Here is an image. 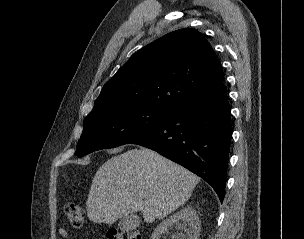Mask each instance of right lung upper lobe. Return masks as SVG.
<instances>
[{
  "mask_svg": "<svg viewBox=\"0 0 304 239\" xmlns=\"http://www.w3.org/2000/svg\"><path fill=\"white\" fill-rule=\"evenodd\" d=\"M223 82L211 45L195 29L173 31L135 53L104 85L87 117L119 108L171 112Z\"/></svg>",
  "mask_w": 304,
  "mask_h": 239,
  "instance_id": "obj_1",
  "label": "right lung upper lobe"
}]
</instances>
